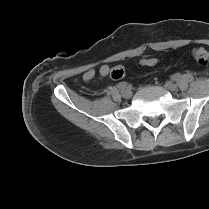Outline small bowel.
Returning <instances> with one entry per match:
<instances>
[{
  "label": "small bowel",
  "instance_id": "1",
  "mask_svg": "<svg viewBox=\"0 0 209 209\" xmlns=\"http://www.w3.org/2000/svg\"><path fill=\"white\" fill-rule=\"evenodd\" d=\"M109 70H110V68H109L108 65H102L101 68H100V70H99L100 76H101V77L107 76L108 73H109ZM94 76H95V70L90 69V70H88V71L83 75V79H84L85 81H89V80L93 79Z\"/></svg>",
  "mask_w": 209,
  "mask_h": 209
}]
</instances>
